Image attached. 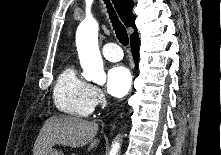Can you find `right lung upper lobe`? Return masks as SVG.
Returning <instances> with one entry per match:
<instances>
[{"instance_id":"1","label":"right lung upper lobe","mask_w":221,"mask_h":155,"mask_svg":"<svg viewBox=\"0 0 221 155\" xmlns=\"http://www.w3.org/2000/svg\"><path fill=\"white\" fill-rule=\"evenodd\" d=\"M117 13L119 14L121 20L126 26L134 28V36L137 34V28L135 26V16L132 13V8L134 6L133 0H112Z\"/></svg>"}]
</instances>
